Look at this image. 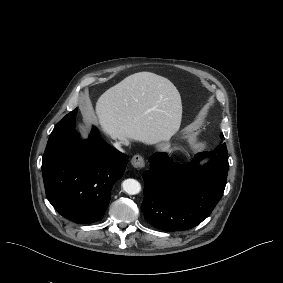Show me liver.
<instances>
[{
    "label": "liver",
    "instance_id": "obj_1",
    "mask_svg": "<svg viewBox=\"0 0 283 283\" xmlns=\"http://www.w3.org/2000/svg\"><path fill=\"white\" fill-rule=\"evenodd\" d=\"M182 111L181 95L173 82L141 71L104 91L95 103L94 115L83 114L81 126L90 129L96 121L104 135L124 146L138 142L162 151L178 133Z\"/></svg>",
    "mask_w": 283,
    "mask_h": 283
}]
</instances>
